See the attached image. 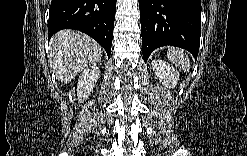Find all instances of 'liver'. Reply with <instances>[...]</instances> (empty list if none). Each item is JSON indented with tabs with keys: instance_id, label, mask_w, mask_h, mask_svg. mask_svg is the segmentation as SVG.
<instances>
[{
	"instance_id": "6515ba94",
	"label": "liver",
	"mask_w": 247,
	"mask_h": 156,
	"mask_svg": "<svg viewBox=\"0 0 247 156\" xmlns=\"http://www.w3.org/2000/svg\"><path fill=\"white\" fill-rule=\"evenodd\" d=\"M102 54V47L88 35L69 29L62 30L50 40L49 65L57 78L67 83L100 61Z\"/></svg>"
}]
</instances>
